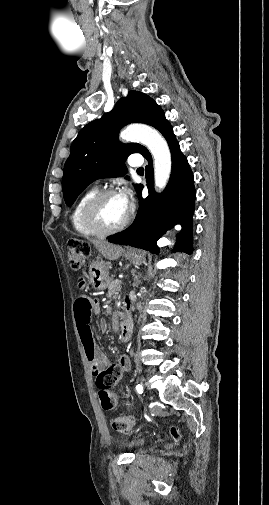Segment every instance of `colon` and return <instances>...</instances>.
Wrapping results in <instances>:
<instances>
[{"mask_svg":"<svg viewBox=\"0 0 269 505\" xmlns=\"http://www.w3.org/2000/svg\"><path fill=\"white\" fill-rule=\"evenodd\" d=\"M89 255L90 249L87 245L80 242L69 244L68 261L73 270L81 269L87 262ZM119 379V372L114 367L103 369L96 375V385L99 388L101 405L105 410H112L114 408L115 399L112 389ZM134 424L135 418L131 415L118 416L112 421L113 429L124 434L130 432ZM172 434L175 438L180 437L179 431L175 427L172 428Z\"/></svg>","mask_w":269,"mask_h":505,"instance_id":"5ec220e1","label":"colon"}]
</instances>
